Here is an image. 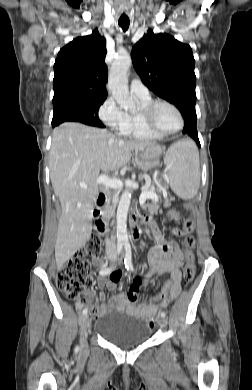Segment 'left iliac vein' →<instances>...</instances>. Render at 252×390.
I'll return each mask as SVG.
<instances>
[{"label":"left iliac vein","mask_w":252,"mask_h":390,"mask_svg":"<svg viewBox=\"0 0 252 390\" xmlns=\"http://www.w3.org/2000/svg\"><path fill=\"white\" fill-rule=\"evenodd\" d=\"M158 323L160 326H165L167 324V320H166V318L161 317V318H158Z\"/></svg>","instance_id":"obj_1"}]
</instances>
